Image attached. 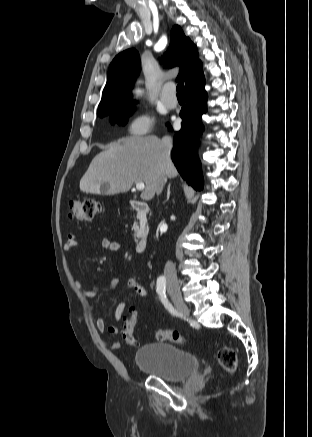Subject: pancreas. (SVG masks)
Returning a JSON list of instances; mask_svg holds the SVG:
<instances>
[{
    "instance_id": "cf45deb5",
    "label": "pancreas",
    "mask_w": 312,
    "mask_h": 437,
    "mask_svg": "<svg viewBox=\"0 0 312 437\" xmlns=\"http://www.w3.org/2000/svg\"><path fill=\"white\" fill-rule=\"evenodd\" d=\"M133 230H134V232H135L134 237H135V238H140V236H141V230L139 229V226H138V224H137L136 222H135L134 225H133Z\"/></svg>"
}]
</instances>
